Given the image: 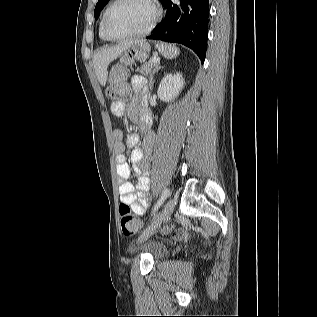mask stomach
I'll list each match as a JSON object with an SVG mask.
<instances>
[{
    "instance_id": "0dacf381",
    "label": "stomach",
    "mask_w": 317,
    "mask_h": 317,
    "mask_svg": "<svg viewBox=\"0 0 317 317\" xmlns=\"http://www.w3.org/2000/svg\"><path fill=\"white\" fill-rule=\"evenodd\" d=\"M150 45L147 42H137L121 54L119 63H114L113 68L133 69L134 66H144L148 61Z\"/></svg>"
}]
</instances>
